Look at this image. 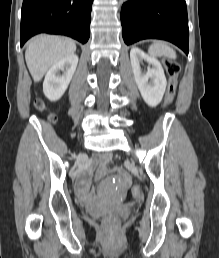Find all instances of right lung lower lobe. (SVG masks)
<instances>
[{
    "instance_id": "right-lung-lower-lobe-1",
    "label": "right lung lower lobe",
    "mask_w": 219,
    "mask_h": 258,
    "mask_svg": "<svg viewBox=\"0 0 219 258\" xmlns=\"http://www.w3.org/2000/svg\"><path fill=\"white\" fill-rule=\"evenodd\" d=\"M93 0H23L21 46L38 33L60 34L86 43Z\"/></svg>"
}]
</instances>
